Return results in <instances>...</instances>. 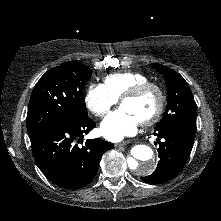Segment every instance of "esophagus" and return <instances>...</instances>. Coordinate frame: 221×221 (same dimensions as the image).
Listing matches in <instances>:
<instances>
[{"label":"esophagus","mask_w":221,"mask_h":221,"mask_svg":"<svg viewBox=\"0 0 221 221\" xmlns=\"http://www.w3.org/2000/svg\"><path fill=\"white\" fill-rule=\"evenodd\" d=\"M129 143H130V141H124V142L116 143L115 147L119 148V147L125 146V145H127Z\"/></svg>","instance_id":"esophagus-1"}]
</instances>
